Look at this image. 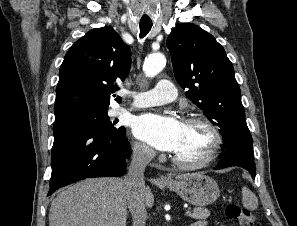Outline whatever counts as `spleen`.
<instances>
[{
	"mask_svg": "<svg viewBox=\"0 0 297 226\" xmlns=\"http://www.w3.org/2000/svg\"><path fill=\"white\" fill-rule=\"evenodd\" d=\"M242 204L243 207L253 211L258 207L257 196L247 187L242 188Z\"/></svg>",
	"mask_w": 297,
	"mask_h": 226,
	"instance_id": "spleen-1",
	"label": "spleen"
}]
</instances>
